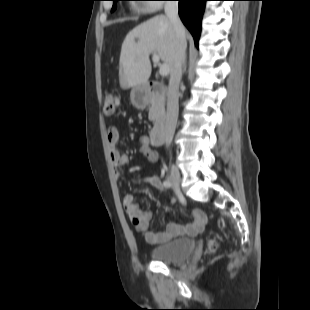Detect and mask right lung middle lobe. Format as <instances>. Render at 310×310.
<instances>
[{"mask_svg": "<svg viewBox=\"0 0 310 310\" xmlns=\"http://www.w3.org/2000/svg\"><path fill=\"white\" fill-rule=\"evenodd\" d=\"M112 1H114L113 7H112V11H114L115 8H116V2L119 1V0H112Z\"/></svg>", "mask_w": 310, "mask_h": 310, "instance_id": "dd1d6c3e", "label": "right lung middle lobe"}]
</instances>
